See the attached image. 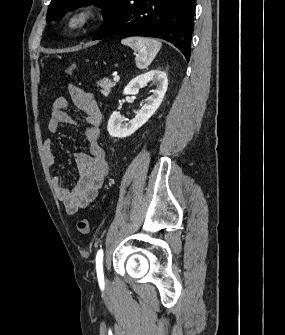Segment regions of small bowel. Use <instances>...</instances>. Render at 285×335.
Segmentation results:
<instances>
[{"mask_svg":"<svg viewBox=\"0 0 285 335\" xmlns=\"http://www.w3.org/2000/svg\"><path fill=\"white\" fill-rule=\"evenodd\" d=\"M69 94L74 106L85 114L87 125L85 139L89 153H76L75 161L79 179L71 188L62 184L60 177L52 179L57 198L64 204L67 214L73 215L86 208L98 195L99 189L108 174L109 166L106 153L99 144L102 114L92 94L75 85L69 86ZM69 102L64 96L57 97L51 107L48 131L56 133L62 125H80L68 112ZM44 156L49 166H54L56 153L52 139L43 144Z\"/></svg>","mask_w":285,"mask_h":335,"instance_id":"obj_1","label":"small bowel"}]
</instances>
